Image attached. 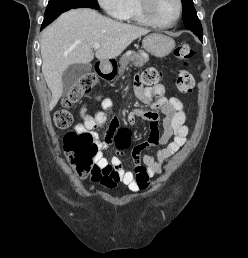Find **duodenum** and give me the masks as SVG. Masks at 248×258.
<instances>
[{"label":"duodenum","instance_id":"obj_1","mask_svg":"<svg viewBox=\"0 0 248 258\" xmlns=\"http://www.w3.org/2000/svg\"><path fill=\"white\" fill-rule=\"evenodd\" d=\"M96 73L99 77L104 79H110L112 77V72L109 68H104L102 62L96 63Z\"/></svg>","mask_w":248,"mask_h":258}]
</instances>
